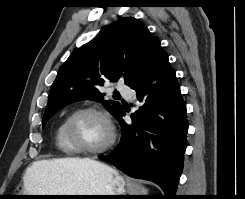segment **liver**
Wrapping results in <instances>:
<instances>
[{
  "label": "liver",
  "instance_id": "obj_1",
  "mask_svg": "<svg viewBox=\"0 0 245 199\" xmlns=\"http://www.w3.org/2000/svg\"><path fill=\"white\" fill-rule=\"evenodd\" d=\"M102 163L90 158H60L33 162L27 168L23 182L30 192L57 193L60 189L53 183L58 175L71 174L78 169L101 166Z\"/></svg>",
  "mask_w": 245,
  "mask_h": 199
}]
</instances>
